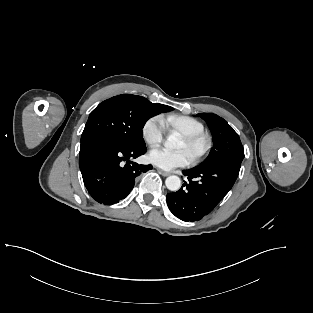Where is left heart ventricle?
<instances>
[{"mask_svg":"<svg viewBox=\"0 0 313 313\" xmlns=\"http://www.w3.org/2000/svg\"><path fill=\"white\" fill-rule=\"evenodd\" d=\"M199 148L200 146H195V147L189 146L183 139L180 141L178 145V149L185 150L191 158L197 153Z\"/></svg>","mask_w":313,"mask_h":313,"instance_id":"left-heart-ventricle-1","label":"left heart ventricle"}]
</instances>
